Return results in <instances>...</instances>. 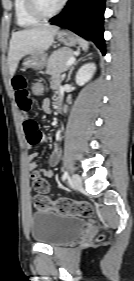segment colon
Here are the masks:
<instances>
[{
	"mask_svg": "<svg viewBox=\"0 0 134 281\" xmlns=\"http://www.w3.org/2000/svg\"><path fill=\"white\" fill-rule=\"evenodd\" d=\"M31 94L35 97L42 96L45 92V85L40 80H35L30 85ZM33 187L40 193L33 199L34 207L38 211L54 210L60 214L79 215L89 217L93 214L92 206L87 202H77L68 198H59L52 201L48 196L42 194L48 191L47 181L39 177L37 172L33 175Z\"/></svg>",
	"mask_w": 134,
	"mask_h": 281,
	"instance_id": "5ec220e1",
	"label": "colon"
}]
</instances>
